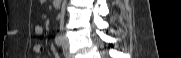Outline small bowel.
<instances>
[{
	"label": "small bowel",
	"mask_w": 181,
	"mask_h": 58,
	"mask_svg": "<svg viewBox=\"0 0 181 58\" xmlns=\"http://www.w3.org/2000/svg\"><path fill=\"white\" fill-rule=\"evenodd\" d=\"M35 33L38 35H41L43 33V27L40 24L35 26ZM33 51L36 54H41L43 52V47L41 45L37 44L33 47Z\"/></svg>",
	"instance_id": "small-bowel-1"
}]
</instances>
